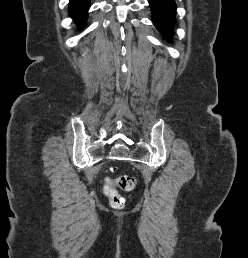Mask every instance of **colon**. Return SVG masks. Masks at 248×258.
Returning a JSON list of instances; mask_svg holds the SVG:
<instances>
[{"mask_svg": "<svg viewBox=\"0 0 248 258\" xmlns=\"http://www.w3.org/2000/svg\"><path fill=\"white\" fill-rule=\"evenodd\" d=\"M119 186L122 190L130 192L135 190L137 182L133 176L123 175L116 180L107 179L104 192L108 197L111 205L115 208H122L125 205L124 197L118 192L116 186Z\"/></svg>", "mask_w": 248, "mask_h": 258, "instance_id": "5ec220e1", "label": "colon"}]
</instances>
